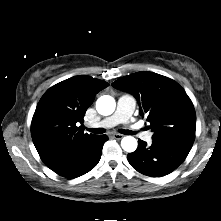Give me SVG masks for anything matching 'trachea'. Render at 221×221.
<instances>
[{
	"label": "trachea",
	"mask_w": 221,
	"mask_h": 221,
	"mask_svg": "<svg viewBox=\"0 0 221 221\" xmlns=\"http://www.w3.org/2000/svg\"><path fill=\"white\" fill-rule=\"evenodd\" d=\"M87 130L94 133V134H103L105 132V129H103V128H95V129H87ZM121 132L123 134H127V135L135 134L134 132H132L130 130H122Z\"/></svg>",
	"instance_id": "obj_1"
}]
</instances>
